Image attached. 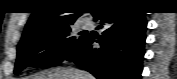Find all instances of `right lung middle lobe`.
<instances>
[{
	"label": "right lung middle lobe",
	"instance_id": "1",
	"mask_svg": "<svg viewBox=\"0 0 177 79\" xmlns=\"http://www.w3.org/2000/svg\"><path fill=\"white\" fill-rule=\"evenodd\" d=\"M72 24L44 28L23 37L17 47L15 74L28 66L43 68L59 65L85 37H70Z\"/></svg>",
	"mask_w": 177,
	"mask_h": 79
}]
</instances>
